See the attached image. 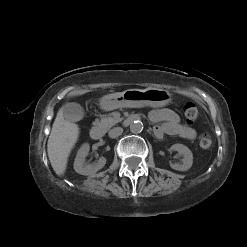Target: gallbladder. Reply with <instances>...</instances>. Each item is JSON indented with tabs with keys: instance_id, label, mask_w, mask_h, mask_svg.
Here are the masks:
<instances>
[{
	"instance_id": "bac80fb5",
	"label": "gallbladder",
	"mask_w": 247,
	"mask_h": 247,
	"mask_svg": "<svg viewBox=\"0 0 247 247\" xmlns=\"http://www.w3.org/2000/svg\"><path fill=\"white\" fill-rule=\"evenodd\" d=\"M84 110L78 103H67L63 107V117L66 121L76 122L83 118Z\"/></svg>"
}]
</instances>
